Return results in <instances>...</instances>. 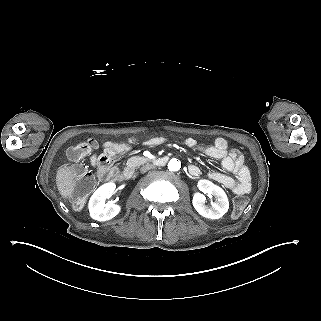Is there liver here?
<instances>
[{
  "label": "liver",
  "mask_w": 321,
  "mask_h": 321,
  "mask_svg": "<svg viewBox=\"0 0 321 321\" xmlns=\"http://www.w3.org/2000/svg\"><path fill=\"white\" fill-rule=\"evenodd\" d=\"M56 184L62 197H72L76 187V173L66 165L59 167L56 174Z\"/></svg>",
  "instance_id": "obj_1"
}]
</instances>
